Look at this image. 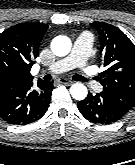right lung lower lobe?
<instances>
[{
  "mask_svg": "<svg viewBox=\"0 0 135 165\" xmlns=\"http://www.w3.org/2000/svg\"><path fill=\"white\" fill-rule=\"evenodd\" d=\"M53 82H8L0 85V117L12 124H28L48 110Z\"/></svg>",
  "mask_w": 135,
  "mask_h": 165,
  "instance_id": "obj_1",
  "label": "right lung lower lobe"
}]
</instances>
